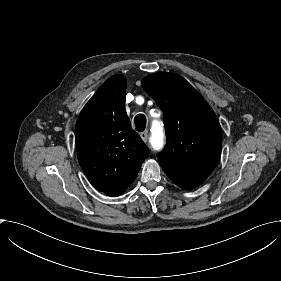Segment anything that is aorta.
Returning a JSON list of instances; mask_svg holds the SVG:
<instances>
[{"label":"aorta","mask_w":281,"mask_h":281,"mask_svg":"<svg viewBox=\"0 0 281 281\" xmlns=\"http://www.w3.org/2000/svg\"><path fill=\"white\" fill-rule=\"evenodd\" d=\"M150 143L155 150L161 149L164 145L163 127L159 122H153L152 124Z\"/></svg>","instance_id":"obj_1"}]
</instances>
